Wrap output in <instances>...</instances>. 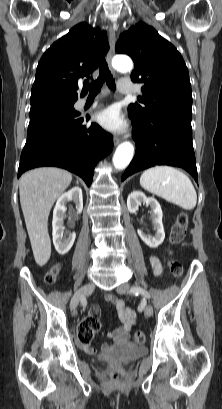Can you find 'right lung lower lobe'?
<instances>
[{"label":"right lung lower lobe","instance_id":"98d812e1","mask_svg":"<svg viewBox=\"0 0 222 409\" xmlns=\"http://www.w3.org/2000/svg\"><path fill=\"white\" fill-rule=\"evenodd\" d=\"M80 113L58 109L32 122L28 127L18 178L29 169L56 166L84 179L90 186L99 160L113 148L112 136L92 123L83 125Z\"/></svg>","mask_w":222,"mask_h":409}]
</instances>
